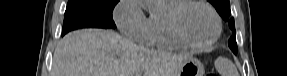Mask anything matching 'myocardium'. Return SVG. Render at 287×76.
<instances>
[{"label": "myocardium", "mask_w": 287, "mask_h": 76, "mask_svg": "<svg viewBox=\"0 0 287 76\" xmlns=\"http://www.w3.org/2000/svg\"><path fill=\"white\" fill-rule=\"evenodd\" d=\"M191 5L204 7L210 12L214 19L215 32L213 36L205 43H193L189 41L180 27V16L182 12ZM168 24L173 37L182 47L196 50H202L211 47L218 40L222 32V23L217 11L207 2L200 0H180V2L170 10L168 15Z\"/></svg>", "instance_id": "obj_1"}]
</instances>
